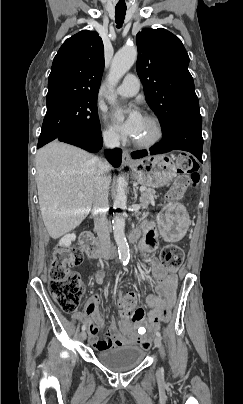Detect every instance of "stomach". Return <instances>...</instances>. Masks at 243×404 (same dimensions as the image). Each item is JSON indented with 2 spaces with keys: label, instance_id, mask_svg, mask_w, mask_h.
Listing matches in <instances>:
<instances>
[{
  "label": "stomach",
  "instance_id": "obj_1",
  "mask_svg": "<svg viewBox=\"0 0 243 404\" xmlns=\"http://www.w3.org/2000/svg\"><path fill=\"white\" fill-rule=\"evenodd\" d=\"M130 167L139 184L152 188L165 186L177 176L174 160L165 154L136 160ZM157 221L163 237L171 242L184 236L190 222L186 209L178 203L168 204L158 215Z\"/></svg>",
  "mask_w": 243,
  "mask_h": 404
}]
</instances>
